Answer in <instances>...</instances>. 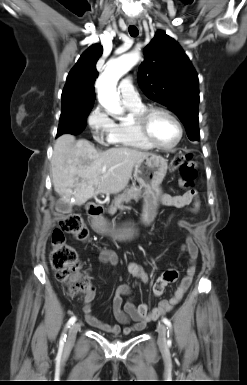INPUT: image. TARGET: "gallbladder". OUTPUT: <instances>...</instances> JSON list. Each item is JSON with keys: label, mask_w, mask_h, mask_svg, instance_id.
I'll return each instance as SVG.
<instances>
[{"label": "gallbladder", "mask_w": 247, "mask_h": 385, "mask_svg": "<svg viewBox=\"0 0 247 385\" xmlns=\"http://www.w3.org/2000/svg\"><path fill=\"white\" fill-rule=\"evenodd\" d=\"M56 210L59 213L68 214V213H70L72 211V205L64 203L61 200H58L56 202Z\"/></svg>", "instance_id": "obj_1"}]
</instances>
